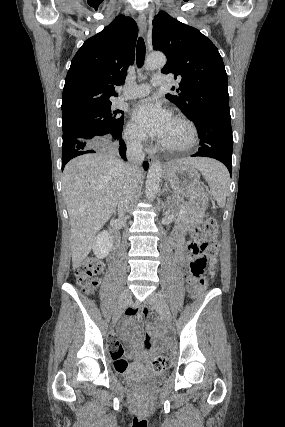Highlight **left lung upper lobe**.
<instances>
[{
    "instance_id": "left-lung-upper-lobe-1",
    "label": "left lung upper lobe",
    "mask_w": 285,
    "mask_h": 427,
    "mask_svg": "<svg viewBox=\"0 0 285 427\" xmlns=\"http://www.w3.org/2000/svg\"><path fill=\"white\" fill-rule=\"evenodd\" d=\"M152 43L165 53L167 63L161 70L179 79L177 94H167L183 114L193 120L204 112L230 115L228 79L216 46L199 30L185 25L165 12L153 20Z\"/></svg>"
}]
</instances>
